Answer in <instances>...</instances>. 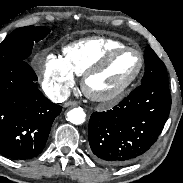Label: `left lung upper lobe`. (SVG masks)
Instances as JSON below:
<instances>
[{
	"instance_id": "left-lung-upper-lobe-1",
	"label": "left lung upper lobe",
	"mask_w": 183,
	"mask_h": 183,
	"mask_svg": "<svg viewBox=\"0 0 183 183\" xmlns=\"http://www.w3.org/2000/svg\"><path fill=\"white\" fill-rule=\"evenodd\" d=\"M145 74L141 84L164 83L168 84L167 71L164 63L159 59L155 52L147 46L144 52Z\"/></svg>"
}]
</instances>
